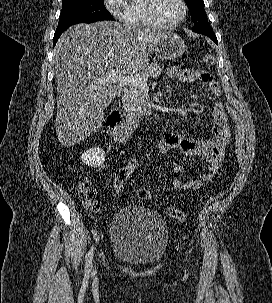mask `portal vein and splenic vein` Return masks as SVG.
I'll use <instances>...</instances> for the list:
<instances>
[{"label": "portal vein and splenic vein", "mask_w": 272, "mask_h": 303, "mask_svg": "<svg viewBox=\"0 0 272 303\" xmlns=\"http://www.w3.org/2000/svg\"><path fill=\"white\" fill-rule=\"evenodd\" d=\"M148 77H137L133 75H118L116 73L107 75L99 80L100 83L111 82L122 85H136L139 87L147 86Z\"/></svg>", "instance_id": "18ae733b"}]
</instances>
